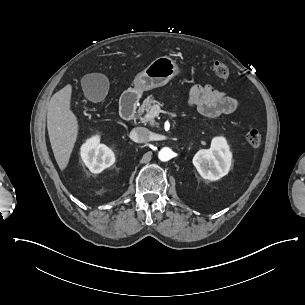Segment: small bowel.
<instances>
[{
    "label": "small bowel",
    "mask_w": 305,
    "mask_h": 305,
    "mask_svg": "<svg viewBox=\"0 0 305 305\" xmlns=\"http://www.w3.org/2000/svg\"><path fill=\"white\" fill-rule=\"evenodd\" d=\"M189 103L206 117L230 114L238 107L236 99L205 83H197L191 88Z\"/></svg>",
    "instance_id": "small-bowel-1"
}]
</instances>
